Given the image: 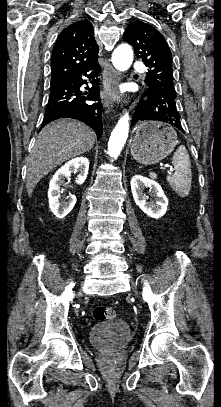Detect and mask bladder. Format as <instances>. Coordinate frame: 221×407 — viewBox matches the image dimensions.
Masks as SVG:
<instances>
[{"mask_svg":"<svg viewBox=\"0 0 221 407\" xmlns=\"http://www.w3.org/2000/svg\"><path fill=\"white\" fill-rule=\"evenodd\" d=\"M89 342L98 349H121L131 339V328L124 319H115L107 324H95L88 333Z\"/></svg>","mask_w":221,"mask_h":407,"instance_id":"obj_1","label":"bladder"}]
</instances>
